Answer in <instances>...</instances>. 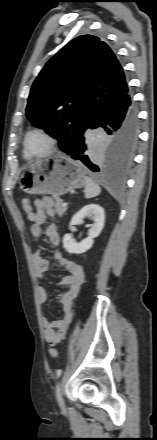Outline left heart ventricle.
<instances>
[{
  "instance_id": "left-heart-ventricle-1",
  "label": "left heart ventricle",
  "mask_w": 157,
  "mask_h": 440,
  "mask_svg": "<svg viewBox=\"0 0 157 440\" xmlns=\"http://www.w3.org/2000/svg\"><path fill=\"white\" fill-rule=\"evenodd\" d=\"M27 147L30 154H42L48 149V140L39 133H33L28 137Z\"/></svg>"
}]
</instances>
